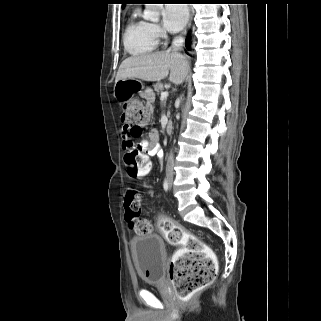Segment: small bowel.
I'll return each instance as SVG.
<instances>
[{
	"label": "small bowel",
	"mask_w": 321,
	"mask_h": 321,
	"mask_svg": "<svg viewBox=\"0 0 321 321\" xmlns=\"http://www.w3.org/2000/svg\"><path fill=\"white\" fill-rule=\"evenodd\" d=\"M145 99L147 101H151L152 98L149 95H146ZM131 136L132 135L130 134L129 130L124 127L121 131V137L122 149L125 154L135 150L148 156H160L162 154L159 145V132L157 129H152L145 138L137 143L132 141Z\"/></svg>",
	"instance_id": "obj_1"
}]
</instances>
